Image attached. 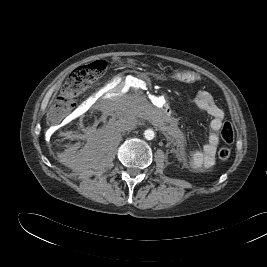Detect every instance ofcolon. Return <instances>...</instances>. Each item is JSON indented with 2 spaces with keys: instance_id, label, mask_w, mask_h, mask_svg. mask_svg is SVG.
I'll return each instance as SVG.
<instances>
[{
  "instance_id": "obj_1",
  "label": "colon",
  "mask_w": 267,
  "mask_h": 267,
  "mask_svg": "<svg viewBox=\"0 0 267 267\" xmlns=\"http://www.w3.org/2000/svg\"><path fill=\"white\" fill-rule=\"evenodd\" d=\"M108 64L104 60L81 65L75 68L66 78L60 96L55 100L48 113V120L51 123L60 122L68 115L75 106L76 97L95 82L107 69ZM221 137L226 143H232L235 138V131L231 123L225 122L221 129ZM231 150L228 147H221L218 157L222 161L229 159Z\"/></svg>"
}]
</instances>
